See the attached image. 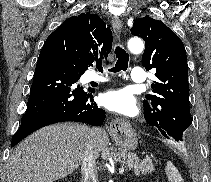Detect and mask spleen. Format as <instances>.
<instances>
[{"label":"spleen","mask_w":211,"mask_h":182,"mask_svg":"<svg viewBox=\"0 0 211 182\" xmlns=\"http://www.w3.org/2000/svg\"><path fill=\"white\" fill-rule=\"evenodd\" d=\"M165 172L169 182H184L178 169L174 166L171 161H167Z\"/></svg>","instance_id":"1"}]
</instances>
